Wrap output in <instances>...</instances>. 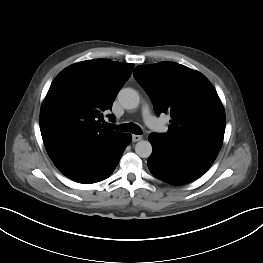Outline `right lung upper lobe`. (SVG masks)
Returning a JSON list of instances; mask_svg holds the SVG:
<instances>
[{"label":"right lung upper lobe","mask_w":263,"mask_h":263,"mask_svg":"<svg viewBox=\"0 0 263 263\" xmlns=\"http://www.w3.org/2000/svg\"><path fill=\"white\" fill-rule=\"evenodd\" d=\"M133 68L132 64L94 59L73 64L58 74L40 113L43 142L55 164L103 147L122 134L104 127L103 112L111 110Z\"/></svg>","instance_id":"cb5924a9"}]
</instances>
